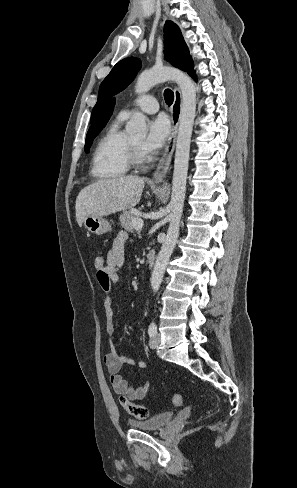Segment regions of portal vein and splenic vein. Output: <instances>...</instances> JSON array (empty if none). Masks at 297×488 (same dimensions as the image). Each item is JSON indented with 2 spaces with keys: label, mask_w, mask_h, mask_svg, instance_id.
Returning a JSON list of instances; mask_svg holds the SVG:
<instances>
[{
  "label": "portal vein and splenic vein",
  "mask_w": 297,
  "mask_h": 488,
  "mask_svg": "<svg viewBox=\"0 0 297 488\" xmlns=\"http://www.w3.org/2000/svg\"><path fill=\"white\" fill-rule=\"evenodd\" d=\"M132 224H133V226H134V228H135L136 230H140V229H142V227H143V224H144V223H143L142 218H135V219L132 221Z\"/></svg>",
  "instance_id": "obj_1"
}]
</instances>
